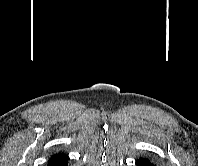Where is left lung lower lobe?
Here are the masks:
<instances>
[{
    "label": "left lung lower lobe",
    "instance_id": "left-lung-lower-lobe-1",
    "mask_svg": "<svg viewBox=\"0 0 198 166\" xmlns=\"http://www.w3.org/2000/svg\"><path fill=\"white\" fill-rule=\"evenodd\" d=\"M136 166H156L152 161H150L148 158H139L136 161Z\"/></svg>",
    "mask_w": 198,
    "mask_h": 166
}]
</instances>
